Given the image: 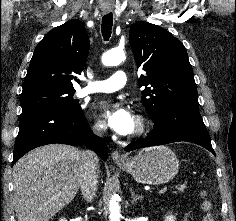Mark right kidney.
<instances>
[{
    "label": "right kidney",
    "instance_id": "ca27d5eb",
    "mask_svg": "<svg viewBox=\"0 0 236 221\" xmlns=\"http://www.w3.org/2000/svg\"><path fill=\"white\" fill-rule=\"evenodd\" d=\"M59 221H67L65 218L60 219Z\"/></svg>",
    "mask_w": 236,
    "mask_h": 221
}]
</instances>
